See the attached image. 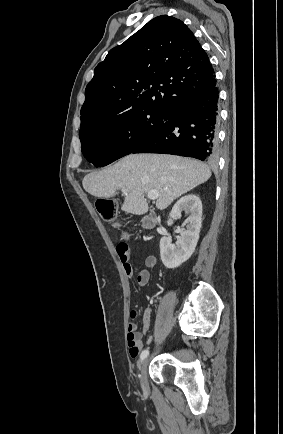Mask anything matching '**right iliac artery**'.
I'll return each instance as SVG.
<instances>
[{"mask_svg": "<svg viewBox=\"0 0 283 434\" xmlns=\"http://www.w3.org/2000/svg\"><path fill=\"white\" fill-rule=\"evenodd\" d=\"M148 355H149V350L148 349L143 350L140 355V360L143 361Z\"/></svg>", "mask_w": 283, "mask_h": 434, "instance_id": "obj_1", "label": "right iliac artery"}]
</instances>
